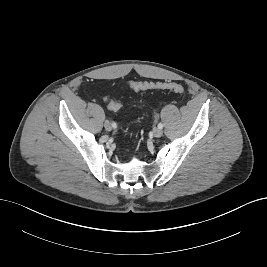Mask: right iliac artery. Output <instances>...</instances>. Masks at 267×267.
I'll list each match as a JSON object with an SVG mask.
<instances>
[{"mask_svg": "<svg viewBox=\"0 0 267 267\" xmlns=\"http://www.w3.org/2000/svg\"><path fill=\"white\" fill-rule=\"evenodd\" d=\"M111 125H112L113 128L117 127V124L115 122H112Z\"/></svg>", "mask_w": 267, "mask_h": 267, "instance_id": "1", "label": "right iliac artery"}]
</instances>
